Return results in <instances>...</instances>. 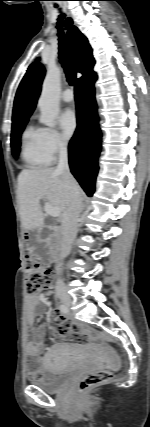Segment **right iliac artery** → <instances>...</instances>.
I'll list each match as a JSON object with an SVG mask.
<instances>
[{
    "label": "right iliac artery",
    "mask_w": 150,
    "mask_h": 427,
    "mask_svg": "<svg viewBox=\"0 0 150 427\" xmlns=\"http://www.w3.org/2000/svg\"><path fill=\"white\" fill-rule=\"evenodd\" d=\"M60 310L63 312V313H67L68 312V309H67V307L65 306V305H60Z\"/></svg>",
    "instance_id": "1"
}]
</instances>
